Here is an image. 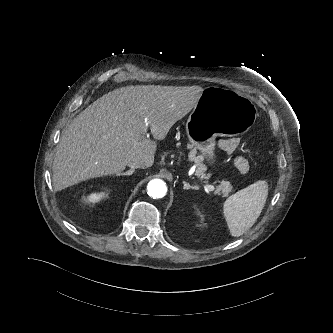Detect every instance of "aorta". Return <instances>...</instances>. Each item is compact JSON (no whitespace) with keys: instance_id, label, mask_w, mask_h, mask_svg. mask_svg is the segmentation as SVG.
<instances>
[{"instance_id":"762f6f07","label":"aorta","mask_w":333,"mask_h":333,"mask_svg":"<svg viewBox=\"0 0 333 333\" xmlns=\"http://www.w3.org/2000/svg\"><path fill=\"white\" fill-rule=\"evenodd\" d=\"M167 190L166 183L161 179H152L147 185V193L153 199L163 198Z\"/></svg>"}]
</instances>
